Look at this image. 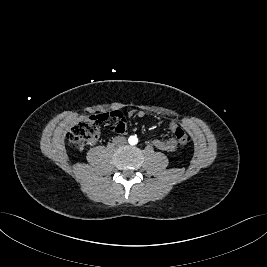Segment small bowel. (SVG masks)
<instances>
[{
  "mask_svg": "<svg viewBox=\"0 0 267 267\" xmlns=\"http://www.w3.org/2000/svg\"><path fill=\"white\" fill-rule=\"evenodd\" d=\"M109 116L113 121L114 124L112 125V130L114 132L123 134L126 132V121H125V115L120 111H112L109 114H106ZM133 115H136L139 118H143L145 116V112L143 110H139L137 112L129 111L127 113L128 117H132ZM177 124L170 123L169 128L173 131L175 128H177ZM153 145L162 151L166 152H172L174 151L178 146V141L176 138H167V139H155L153 140Z\"/></svg>",
  "mask_w": 267,
  "mask_h": 267,
  "instance_id": "obj_1",
  "label": "small bowel"
}]
</instances>
